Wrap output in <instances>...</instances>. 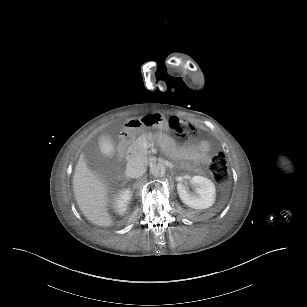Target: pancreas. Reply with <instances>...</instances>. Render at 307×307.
<instances>
[{"mask_svg": "<svg viewBox=\"0 0 307 307\" xmlns=\"http://www.w3.org/2000/svg\"><path fill=\"white\" fill-rule=\"evenodd\" d=\"M147 142V136L146 134H143L139 136L135 142L132 144V149H131V154L136 155V154H142L146 155L147 150L144 149V144Z\"/></svg>", "mask_w": 307, "mask_h": 307, "instance_id": "pancreas-1", "label": "pancreas"}]
</instances>
